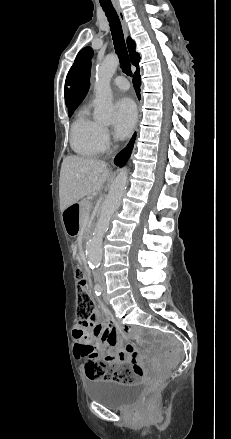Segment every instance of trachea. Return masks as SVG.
<instances>
[{
	"label": "trachea",
	"instance_id": "trachea-1",
	"mask_svg": "<svg viewBox=\"0 0 231 439\" xmlns=\"http://www.w3.org/2000/svg\"><path fill=\"white\" fill-rule=\"evenodd\" d=\"M101 7L108 18L110 31L113 39L114 49L118 55L120 67L122 71L128 76H132L129 56L124 41V35L119 17L112 5V3L101 2Z\"/></svg>",
	"mask_w": 231,
	"mask_h": 439
}]
</instances>
